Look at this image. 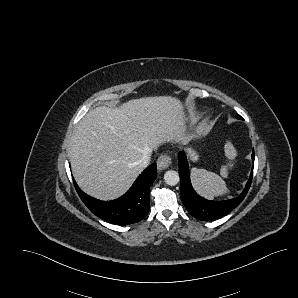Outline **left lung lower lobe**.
<instances>
[{"label": "left lung lower lobe", "mask_w": 298, "mask_h": 298, "mask_svg": "<svg viewBox=\"0 0 298 298\" xmlns=\"http://www.w3.org/2000/svg\"><path fill=\"white\" fill-rule=\"evenodd\" d=\"M240 117V116H239ZM241 118V117H240ZM242 119V118H241ZM252 160L254 162V151L252 153ZM179 176H180V197L181 200L188 210V212L195 218L203 221H212L225 216L236 208L245 198L252 181L253 168L250 174V178L246 184L243 192L234 199L225 201H209L200 197L192 188L188 163L185 153L179 152Z\"/></svg>", "instance_id": "0a47b994"}]
</instances>
